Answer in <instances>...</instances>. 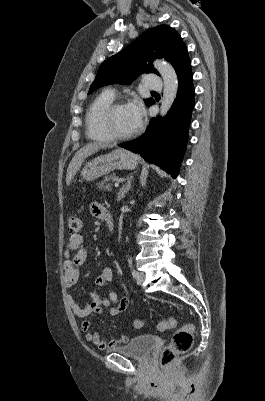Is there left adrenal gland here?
<instances>
[{
    "label": "left adrenal gland",
    "instance_id": "a2214340",
    "mask_svg": "<svg viewBox=\"0 0 265 401\" xmlns=\"http://www.w3.org/2000/svg\"><path fill=\"white\" fill-rule=\"evenodd\" d=\"M132 178L133 176H128L127 182L119 188V192H117V201H122V198H124L125 194H127L128 190L132 188Z\"/></svg>",
    "mask_w": 265,
    "mask_h": 401
}]
</instances>
